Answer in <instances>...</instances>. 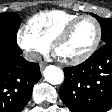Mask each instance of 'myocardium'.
I'll use <instances>...</instances> for the list:
<instances>
[{
	"mask_svg": "<svg viewBox=\"0 0 112 112\" xmlns=\"http://www.w3.org/2000/svg\"><path fill=\"white\" fill-rule=\"evenodd\" d=\"M83 19H90L93 21L96 27V36L95 39L90 46V48L81 56L73 59H62L65 63L71 64V65H77L85 62L88 60L97 50L101 39H102V27L98 19L92 15L85 14V15H80L77 18L73 19L71 22H69L58 34L57 36L53 39L51 43L52 51L54 54L57 55L56 51L58 46L70 35L71 31L73 28Z\"/></svg>",
	"mask_w": 112,
	"mask_h": 112,
	"instance_id": "f54148a6",
	"label": "myocardium"
}]
</instances>
